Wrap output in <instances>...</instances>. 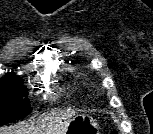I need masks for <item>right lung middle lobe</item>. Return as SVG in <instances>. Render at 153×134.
<instances>
[{
	"label": "right lung middle lobe",
	"mask_w": 153,
	"mask_h": 134,
	"mask_svg": "<svg viewBox=\"0 0 153 134\" xmlns=\"http://www.w3.org/2000/svg\"><path fill=\"white\" fill-rule=\"evenodd\" d=\"M27 89L19 79H0V126L32 112Z\"/></svg>",
	"instance_id": "dd1d6c3e"
}]
</instances>
